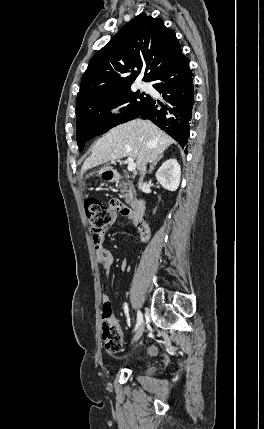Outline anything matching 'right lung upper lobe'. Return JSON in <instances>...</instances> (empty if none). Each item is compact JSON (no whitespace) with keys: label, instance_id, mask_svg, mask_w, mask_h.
<instances>
[{"label":"right lung upper lobe","instance_id":"cb5924a9","mask_svg":"<svg viewBox=\"0 0 264 429\" xmlns=\"http://www.w3.org/2000/svg\"><path fill=\"white\" fill-rule=\"evenodd\" d=\"M180 51L175 33L163 20L141 13L92 57L82 77L76 107L130 88L143 66V80L150 82Z\"/></svg>","mask_w":264,"mask_h":429}]
</instances>
